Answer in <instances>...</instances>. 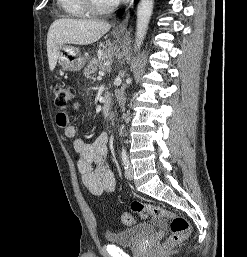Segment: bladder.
<instances>
[{"label": "bladder", "mask_w": 247, "mask_h": 257, "mask_svg": "<svg viewBox=\"0 0 247 257\" xmlns=\"http://www.w3.org/2000/svg\"><path fill=\"white\" fill-rule=\"evenodd\" d=\"M155 231L153 225L148 223H140L131 228L120 231H109L105 234V238L109 243L120 246H133L142 242L144 239L152 235Z\"/></svg>", "instance_id": "bladder-1"}]
</instances>
